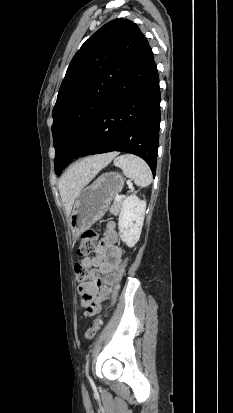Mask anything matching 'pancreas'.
Wrapping results in <instances>:
<instances>
[{"label":"pancreas","mask_w":233,"mask_h":413,"mask_svg":"<svg viewBox=\"0 0 233 413\" xmlns=\"http://www.w3.org/2000/svg\"><path fill=\"white\" fill-rule=\"evenodd\" d=\"M123 205V200L114 201L112 206L110 207L109 211L111 214L117 216L120 212L121 206Z\"/></svg>","instance_id":"1"}]
</instances>
